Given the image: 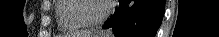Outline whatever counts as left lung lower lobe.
Listing matches in <instances>:
<instances>
[{"label":"left lung lower lobe","instance_id":"left-lung-lower-lobe-1","mask_svg":"<svg viewBox=\"0 0 219 37\" xmlns=\"http://www.w3.org/2000/svg\"><path fill=\"white\" fill-rule=\"evenodd\" d=\"M165 0H119V7L104 24L116 37H155Z\"/></svg>","mask_w":219,"mask_h":37}]
</instances>
